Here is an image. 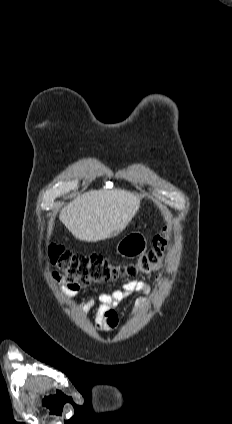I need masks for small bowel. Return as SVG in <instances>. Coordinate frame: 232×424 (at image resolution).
I'll list each match as a JSON object with an SVG mask.
<instances>
[{"label":"small bowel","instance_id":"1","mask_svg":"<svg viewBox=\"0 0 232 424\" xmlns=\"http://www.w3.org/2000/svg\"><path fill=\"white\" fill-rule=\"evenodd\" d=\"M78 289L64 288L62 294L65 297L75 296ZM140 293L134 301L135 309L142 310L148 305L147 295L150 293V286L143 280H131L126 282L122 288L106 290L98 295L89 296L83 299L80 310L85 312L96 306L95 323L101 330H113L117 326V314L115 309L128 296Z\"/></svg>","mask_w":232,"mask_h":424}]
</instances>
